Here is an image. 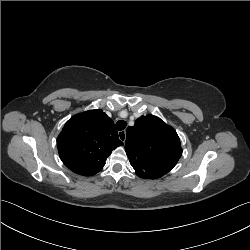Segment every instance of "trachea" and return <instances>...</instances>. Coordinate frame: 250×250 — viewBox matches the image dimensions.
<instances>
[{
	"mask_svg": "<svg viewBox=\"0 0 250 250\" xmlns=\"http://www.w3.org/2000/svg\"><path fill=\"white\" fill-rule=\"evenodd\" d=\"M127 126V122L124 120H119L116 122V128L117 130L121 131Z\"/></svg>",
	"mask_w": 250,
	"mask_h": 250,
	"instance_id": "obj_1",
	"label": "trachea"
}]
</instances>
